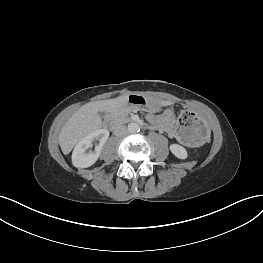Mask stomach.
Returning <instances> with one entry per match:
<instances>
[{
    "label": "stomach",
    "mask_w": 263,
    "mask_h": 263,
    "mask_svg": "<svg viewBox=\"0 0 263 263\" xmlns=\"http://www.w3.org/2000/svg\"><path fill=\"white\" fill-rule=\"evenodd\" d=\"M127 109L156 110L160 105L154 100L147 99L140 95H130L125 105ZM165 121L172 122L173 129L181 132L183 140L192 145H202L210 137V130L199 117L198 113L192 109L181 111L177 118L173 108L166 107L162 111Z\"/></svg>",
    "instance_id": "0dacf381"
}]
</instances>
